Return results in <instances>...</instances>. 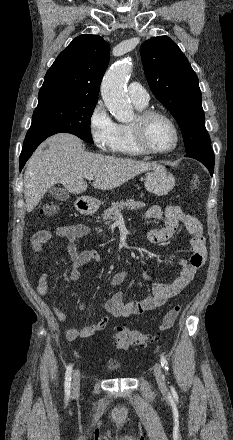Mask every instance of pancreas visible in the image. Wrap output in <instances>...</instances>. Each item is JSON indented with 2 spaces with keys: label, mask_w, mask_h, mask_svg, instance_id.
Listing matches in <instances>:
<instances>
[{
  "label": "pancreas",
  "mask_w": 233,
  "mask_h": 440,
  "mask_svg": "<svg viewBox=\"0 0 233 440\" xmlns=\"http://www.w3.org/2000/svg\"><path fill=\"white\" fill-rule=\"evenodd\" d=\"M144 207L145 203L134 201L133 199L113 203L112 206L106 209L102 214L103 221H106V224H109L115 220L116 216L121 212V210L130 209L137 211Z\"/></svg>",
  "instance_id": "obj_1"
}]
</instances>
